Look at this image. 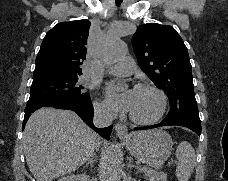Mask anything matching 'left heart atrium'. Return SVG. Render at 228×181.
Instances as JSON below:
<instances>
[{
    "mask_svg": "<svg viewBox=\"0 0 228 181\" xmlns=\"http://www.w3.org/2000/svg\"><path fill=\"white\" fill-rule=\"evenodd\" d=\"M109 93L113 102V108L120 110H130L132 104V97L130 91H125L120 97L115 96L113 88H110Z\"/></svg>",
    "mask_w": 228,
    "mask_h": 181,
    "instance_id": "39dd6f15",
    "label": "left heart atrium"
}]
</instances>
